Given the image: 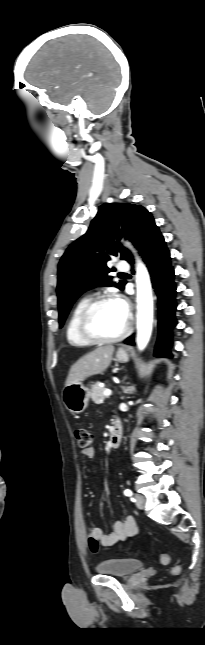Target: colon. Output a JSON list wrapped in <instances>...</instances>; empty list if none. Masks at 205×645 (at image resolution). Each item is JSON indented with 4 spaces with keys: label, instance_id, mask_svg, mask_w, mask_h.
<instances>
[{
    "label": "colon",
    "instance_id": "colon-1",
    "mask_svg": "<svg viewBox=\"0 0 205 645\" xmlns=\"http://www.w3.org/2000/svg\"><path fill=\"white\" fill-rule=\"evenodd\" d=\"M74 435H75V438H76V441H77V444L79 445V447L87 448L91 444L92 436H91L90 432L87 429H85V428H76L75 431H74ZM160 560H161L162 563H168L169 562V555L167 553H162L160 555ZM172 571H173L174 574H177L180 571V567L175 566Z\"/></svg>",
    "mask_w": 205,
    "mask_h": 645
}]
</instances>
